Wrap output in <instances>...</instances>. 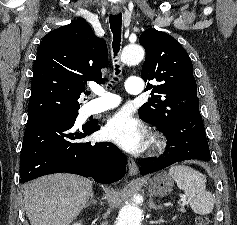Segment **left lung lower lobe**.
<instances>
[{
	"label": "left lung lower lobe",
	"mask_w": 237,
	"mask_h": 225,
	"mask_svg": "<svg viewBox=\"0 0 237 225\" xmlns=\"http://www.w3.org/2000/svg\"><path fill=\"white\" fill-rule=\"evenodd\" d=\"M163 133L168 138L166 151L159 158L144 159L139 168L141 174L152 173L184 160H210L208 141L199 109L185 115Z\"/></svg>",
	"instance_id": "left-lung-lower-lobe-1"
}]
</instances>
